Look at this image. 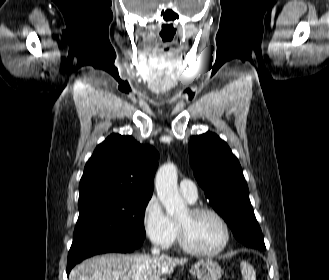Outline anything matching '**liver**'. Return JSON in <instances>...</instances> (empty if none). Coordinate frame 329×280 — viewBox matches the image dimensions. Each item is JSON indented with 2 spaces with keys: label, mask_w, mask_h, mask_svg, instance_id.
Returning <instances> with one entry per match:
<instances>
[{
  "label": "liver",
  "mask_w": 329,
  "mask_h": 280,
  "mask_svg": "<svg viewBox=\"0 0 329 280\" xmlns=\"http://www.w3.org/2000/svg\"><path fill=\"white\" fill-rule=\"evenodd\" d=\"M187 259L165 255L105 254L83 261L70 272L69 280H164Z\"/></svg>",
  "instance_id": "1"
}]
</instances>
